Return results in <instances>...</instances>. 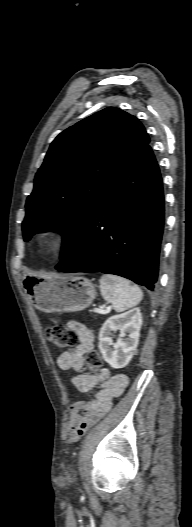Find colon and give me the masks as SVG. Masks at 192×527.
<instances>
[{
    "label": "colon",
    "instance_id": "5ec220e1",
    "mask_svg": "<svg viewBox=\"0 0 192 527\" xmlns=\"http://www.w3.org/2000/svg\"><path fill=\"white\" fill-rule=\"evenodd\" d=\"M46 337L56 350H63L75 345L78 338L74 330L59 323L47 327ZM85 363L90 373L102 375V360L97 351H90L86 355Z\"/></svg>",
    "mask_w": 192,
    "mask_h": 527
}]
</instances>
